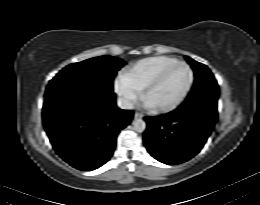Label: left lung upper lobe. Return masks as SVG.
I'll return each instance as SVG.
<instances>
[{"mask_svg": "<svg viewBox=\"0 0 260 205\" xmlns=\"http://www.w3.org/2000/svg\"><path fill=\"white\" fill-rule=\"evenodd\" d=\"M185 58L194 69L196 79L192 91L181 106L202 105L217 112L219 92L218 84L213 74L204 64L194 61L187 56Z\"/></svg>", "mask_w": 260, "mask_h": 205, "instance_id": "1", "label": "left lung upper lobe"}]
</instances>
